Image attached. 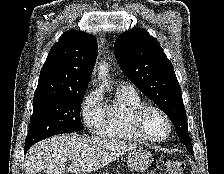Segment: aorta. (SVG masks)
<instances>
[{
	"mask_svg": "<svg viewBox=\"0 0 224 174\" xmlns=\"http://www.w3.org/2000/svg\"><path fill=\"white\" fill-rule=\"evenodd\" d=\"M107 73H108V65L101 64L99 66V77L103 79L107 75Z\"/></svg>",
	"mask_w": 224,
	"mask_h": 174,
	"instance_id": "1",
	"label": "aorta"
}]
</instances>
